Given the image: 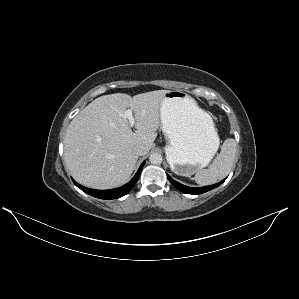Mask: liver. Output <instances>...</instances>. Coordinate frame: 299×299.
<instances>
[{
  "label": "liver",
  "instance_id": "obj_1",
  "mask_svg": "<svg viewBox=\"0 0 299 299\" xmlns=\"http://www.w3.org/2000/svg\"><path fill=\"white\" fill-rule=\"evenodd\" d=\"M168 90L137 94L115 93L96 98L69 124L64 137V161L80 184L93 189L123 185L133 173L134 148H152L160 127V107ZM132 109L136 131L124 117Z\"/></svg>",
  "mask_w": 299,
  "mask_h": 299
}]
</instances>
